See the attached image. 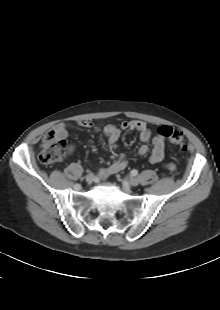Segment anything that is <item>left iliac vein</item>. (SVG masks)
Returning <instances> with one entry per match:
<instances>
[{"label":"left iliac vein","instance_id":"obj_1","mask_svg":"<svg viewBox=\"0 0 220 310\" xmlns=\"http://www.w3.org/2000/svg\"><path fill=\"white\" fill-rule=\"evenodd\" d=\"M129 184H130L131 186H137V185L139 184L138 178L131 177V178L129 179Z\"/></svg>","mask_w":220,"mask_h":310}]
</instances>
